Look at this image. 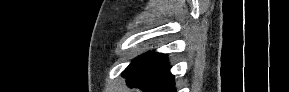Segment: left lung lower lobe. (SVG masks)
<instances>
[{"mask_svg":"<svg viewBox=\"0 0 289 92\" xmlns=\"http://www.w3.org/2000/svg\"><path fill=\"white\" fill-rule=\"evenodd\" d=\"M130 86L145 92H176L167 57L157 52H147L135 59L122 73Z\"/></svg>","mask_w":289,"mask_h":92,"instance_id":"1","label":"left lung lower lobe"}]
</instances>
